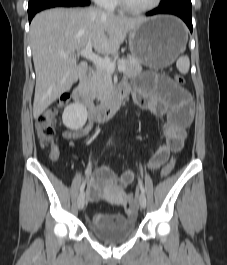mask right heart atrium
Segmentation results:
<instances>
[{"mask_svg": "<svg viewBox=\"0 0 227 265\" xmlns=\"http://www.w3.org/2000/svg\"><path fill=\"white\" fill-rule=\"evenodd\" d=\"M97 5L106 8V9H110L112 6V2L113 0H93Z\"/></svg>", "mask_w": 227, "mask_h": 265, "instance_id": "1", "label": "right heart atrium"}]
</instances>
